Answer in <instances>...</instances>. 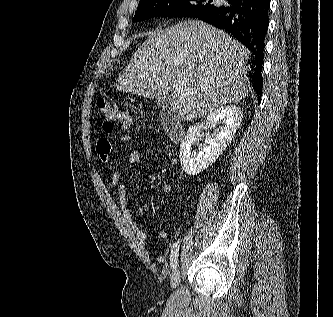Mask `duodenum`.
Returning a JSON list of instances; mask_svg holds the SVG:
<instances>
[{"instance_id":"410a0bca","label":"duodenum","mask_w":333,"mask_h":317,"mask_svg":"<svg viewBox=\"0 0 333 317\" xmlns=\"http://www.w3.org/2000/svg\"><path fill=\"white\" fill-rule=\"evenodd\" d=\"M160 122L165 133L173 142H180L183 139L185 135L183 124L169 108L161 110Z\"/></svg>"}]
</instances>
